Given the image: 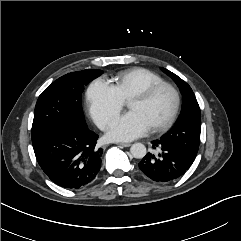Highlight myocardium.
Listing matches in <instances>:
<instances>
[{"instance_id": "f54148a6", "label": "myocardium", "mask_w": 241, "mask_h": 241, "mask_svg": "<svg viewBox=\"0 0 241 241\" xmlns=\"http://www.w3.org/2000/svg\"><path fill=\"white\" fill-rule=\"evenodd\" d=\"M163 88H167L172 92L173 97H174V106H173L170 116L164 123L152 127V130L155 132L166 131L169 128H171L172 125L175 123V121L178 117L179 111H180V106H181V97H180V93L177 90V88L174 85H172L171 83L163 81V82L152 84V85L146 87L142 91L133 95L129 100V102H131L133 100L147 101L150 98H152L159 90H161Z\"/></svg>"}]
</instances>
